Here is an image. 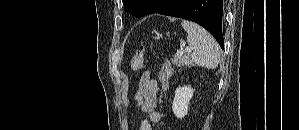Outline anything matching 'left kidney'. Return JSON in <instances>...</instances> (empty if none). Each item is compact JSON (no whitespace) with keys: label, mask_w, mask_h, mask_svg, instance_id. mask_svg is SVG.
I'll list each match as a JSON object with an SVG mask.
<instances>
[{"label":"left kidney","mask_w":299,"mask_h":130,"mask_svg":"<svg viewBox=\"0 0 299 130\" xmlns=\"http://www.w3.org/2000/svg\"><path fill=\"white\" fill-rule=\"evenodd\" d=\"M193 93L194 90L190 86L178 87L176 89L172 110L177 118H183L187 115Z\"/></svg>","instance_id":"5707ae66"}]
</instances>
